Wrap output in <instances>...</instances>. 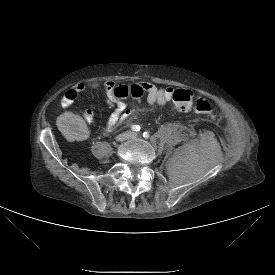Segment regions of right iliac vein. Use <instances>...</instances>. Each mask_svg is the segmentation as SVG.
Listing matches in <instances>:
<instances>
[{
	"instance_id": "63e3f726",
	"label": "right iliac vein",
	"mask_w": 275,
	"mask_h": 275,
	"mask_svg": "<svg viewBox=\"0 0 275 275\" xmlns=\"http://www.w3.org/2000/svg\"><path fill=\"white\" fill-rule=\"evenodd\" d=\"M131 137V134L129 132H126V133H122V134H119L117 137H116V140L118 142H123L127 139H129Z\"/></svg>"
}]
</instances>
